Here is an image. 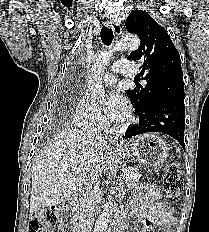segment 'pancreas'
I'll return each instance as SVG.
<instances>
[{
  "mask_svg": "<svg viewBox=\"0 0 209 232\" xmlns=\"http://www.w3.org/2000/svg\"><path fill=\"white\" fill-rule=\"evenodd\" d=\"M127 174L128 178L126 180V185L128 188L132 189L137 185V182L139 181L141 177V173L138 167H131L128 168L125 172Z\"/></svg>",
  "mask_w": 209,
  "mask_h": 232,
  "instance_id": "cf45deb5",
  "label": "pancreas"
}]
</instances>
